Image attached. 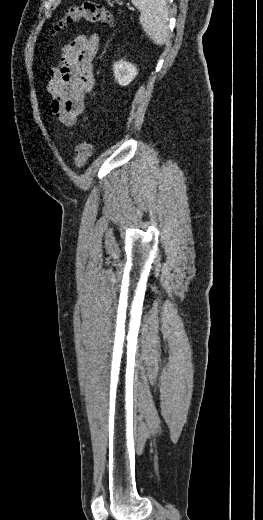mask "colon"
Instances as JSON below:
<instances>
[{"label":"colon","mask_w":263,"mask_h":520,"mask_svg":"<svg viewBox=\"0 0 263 520\" xmlns=\"http://www.w3.org/2000/svg\"><path fill=\"white\" fill-rule=\"evenodd\" d=\"M84 20L91 24L104 27H114L116 18L102 5L95 2H85L80 6H71L56 20L51 35L59 33L67 25ZM93 153V146L88 138H84L76 147L73 164L80 168L86 165Z\"/></svg>","instance_id":"colon-1"}]
</instances>
